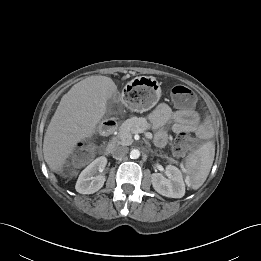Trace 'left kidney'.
<instances>
[{
	"label": "left kidney",
	"mask_w": 261,
	"mask_h": 261,
	"mask_svg": "<svg viewBox=\"0 0 261 261\" xmlns=\"http://www.w3.org/2000/svg\"><path fill=\"white\" fill-rule=\"evenodd\" d=\"M165 174L167 178L161 173L152 174L153 188L163 196L182 198L185 195V183L181 171L173 165H168Z\"/></svg>",
	"instance_id": "1"
}]
</instances>
